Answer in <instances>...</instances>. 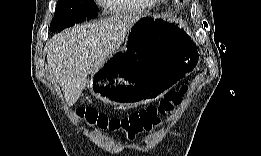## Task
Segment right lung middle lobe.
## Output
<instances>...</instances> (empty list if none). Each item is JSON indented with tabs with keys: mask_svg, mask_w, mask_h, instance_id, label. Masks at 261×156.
Instances as JSON below:
<instances>
[{
	"mask_svg": "<svg viewBox=\"0 0 261 156\" xmlns=\"http://www.w3.org/2000/svg\"><path fill=\"white\" fill-rule=\"evenodd\" d=\"M97 6L91 0H59L50 31H62L85 19L97 16Z\"/></svg>",
	"mask_w": 261,
	"mask_h": 156,
	"instance_id": "obj_1",
	"label": "right lung middle lobe"
}]
</instances>
